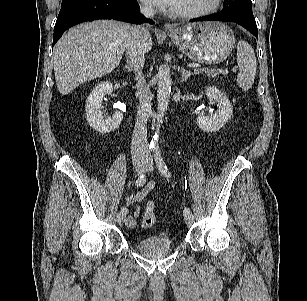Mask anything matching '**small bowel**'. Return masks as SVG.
Returning <instances> with one entry per match:
<instances>
[{
	"mask_svg": "<svg viewBox=\"0 0 307 301\" xmlns=\"http://www.w3.org/2000/svg\"><path fill=\"white\" fill-rule=\"evenodd\" d=\"M154 183H148L142 189L136 191L133 194L128 195L125 198V204L127 206L134 205L136 203L142 202L146 196L154 189ZM140 216V208L135 207L132 215L128 216L125 223L128 227H134L136 224V219Z\"/></svg>",
	"mask_w": 307,
	"mask_h": 301,
	"instance_id": "obj_1",
	"label": "small bowel"
}]
</instances>
